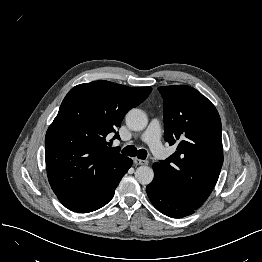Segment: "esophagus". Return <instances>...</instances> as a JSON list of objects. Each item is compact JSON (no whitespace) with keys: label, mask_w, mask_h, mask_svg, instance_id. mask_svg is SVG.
Wrapping results in <instances>:
<instances>
[{"label":"esophagus","mask_w":262,"mask_h":262,"mask_svg":"<svg viewBox=\"0 0 262 262\" xmlns=\"http://www.w3.org/2000/svg\"><path fill=\"white\" fill-rule=\"evenodd\" d=\"M133 161L137 165H146V164H148L147 160H142V159H138V158H134Z\"/></svg>","instance_id":"1"}]
</instances>
